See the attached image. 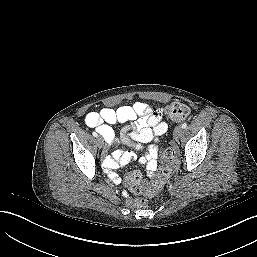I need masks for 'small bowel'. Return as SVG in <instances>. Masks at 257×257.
Wrapping results in <instances>:
<instances>
[{
  "instance_id": "obj_1",
  "label": "small bowel",
  "mask_w": 257,
  "mask_h": 257,
  "mask_svg": "<svg viewBox=\"0 0 257 257\" xmlns=\"http://www.w3.org/2000/svg\"><path fill=\"white\" fill-rule=\"evenodd\" d=\"M129 121L132 123L122 130L120 140L126 144L135 143L139 150H143L145 144L156 141L168 130V125L162 121V112L141 101L118 108L105 107L99 112H89L85 117L87 126L95 128L109 145L118 142L111 125ZM134 158L133 152L117 150L105 159L104 168L114 183L118 184L121 179L112 170L124 166ZM140 162L146 167L148 174H152L158 165L157 150L149 149ZM124 196L127 197V194L124 193Z\"/></svg>"
}]
</instances>
